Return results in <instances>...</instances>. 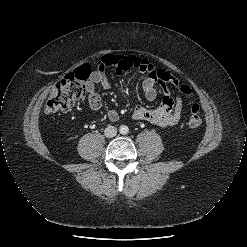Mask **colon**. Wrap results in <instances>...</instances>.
I'll list each match as a JSON object with an SVG mask.
<instances>
[{"instance_id":"5ec220e1","label":"colon","mask_w":247,"mask_h":247,"mask_svg":"<svg viewBox=\"0 0 247 247\" xmlns=\"http://www.w3.org/2000/svg\"><path fill=\"white\" fill-rule=\"evenodd\" d=\"M91 69L88 65H83L75 71L69 73L61 79L52 90L45 106L46 114L67 112L80 104L85 98L84 82L90 77ZM180 92L190 95L191 90L188 86L182 85ZM202 123L199 104L193 102L190 107L188 124L192 128L200 126Z\"/></svg>"}]
</instances>
